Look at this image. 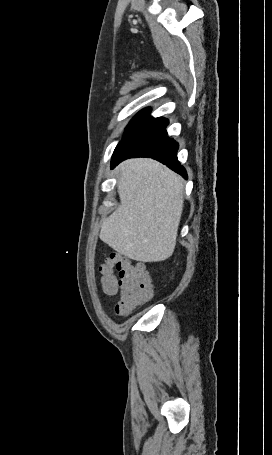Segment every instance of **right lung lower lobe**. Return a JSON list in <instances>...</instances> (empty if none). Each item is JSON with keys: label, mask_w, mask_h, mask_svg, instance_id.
Masks as SVG:
<instances>
[{"label": "right lung lower lobe", "mask_w": 272, "mask_h": 455, "mask_svg": "<svg viewBox=\"0 0 272 455\" xmlns=\"http://www.w3.org/2000/svg\"><path fill=\"white\" fill-rule=\"evenodd\" d=\"M168 119L150 118L129 132L117 145L111 168L131 157L156 159L187 179L185 169L177 159L178 144L167 136Z\"/></svg>", "instance_id": "98d812e1"}]
</instances>
